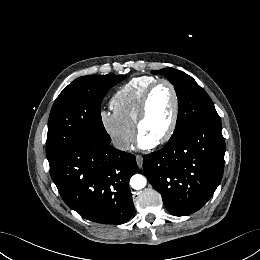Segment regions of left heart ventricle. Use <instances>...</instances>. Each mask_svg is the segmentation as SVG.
Segmentation results:
<instances>
[{"mask_svg":"<svg viewBox=\"0 0 260 260\" xmlns=\"http://www.w3.org/2000/svg\"><path fill=\"white\" fill-rule=\"evenodd\" d=\"M173 95L166 85H160L151 96L140 134L157 141L167 131L173 113Z\"/></svg>","mask_w":260,"mask_h":260,"instance_id":"1","label":"left heart ventricle"}]
</instances>
